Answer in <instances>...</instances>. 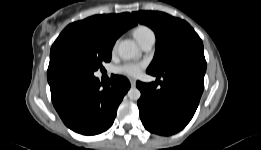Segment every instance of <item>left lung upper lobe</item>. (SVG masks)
<instances>
[{"label": "left lung upper lobe", "instance_id": "1", "mask_svg": "<svg viewBox=\"0 0 261 150\" xmlns=\"http://www.w3.org/2000/svg\"><path fill=\"white\" fill-rule=\"evenodd\" d=\"M132 15L156 35L155 55L148 71L161 74L186 58L205 60L202 40L186 21L157 11H138Z\"/></svg>", "mask_w": 261, "mask_h": 150}]
</instances>
